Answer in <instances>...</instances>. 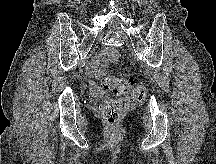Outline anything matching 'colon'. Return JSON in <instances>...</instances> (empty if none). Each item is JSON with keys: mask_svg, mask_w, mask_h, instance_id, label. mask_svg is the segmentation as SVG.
I'll return each instance as SVG.
<instances>
[{"mask_svg": "<svg viewBox=\"0 0 216 164\" xmlns=\"http://www.w3.org/2000/svg\"><path fill=\"white\" fill-rule=\"evenodd\" d=\"M102 84L113 96L118 97L111 99L103 109V117L111 126L118 125L123 112L141 101L145 95V89L136 84L132 78L107 76Z\"/></svg>", "mask_w": 216, "mask_h": 164, "instance_id": "colon-1", "label": "colon"}]
</instances>
